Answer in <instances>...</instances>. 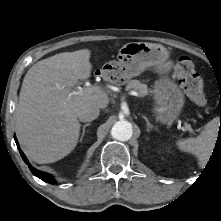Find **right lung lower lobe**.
<instances>
[{"instance_id": "obj_1", "label": "right lung lower lobe", "mask_w": 221, "mask_h": 221, "mask_svg": "<svg viewBox=\"0 0 221 221\" xmlns=\"http://www.w3.org/2000/svg\"><path fill=\"white\" fill-rule=\"evenodd\" d=\"M14 139H15L16 144L18 145V142H17V139H16L15 136H14ZM18 149H19V152H20V154H21V156H22L24 162L29 166V169L31 170V172H32L35 176H37L38 178H40L41 180H43V181H45V182H48V183H51V184L55 183V179H54L51 175H49V174H47V173H44V172H42V171H39V170L35 169L34 167H32V166L29 164V162H28V160L26 159V157H25V155L23 154V152L20 150V148H18Z\"/></svg>"}]
</instances>
